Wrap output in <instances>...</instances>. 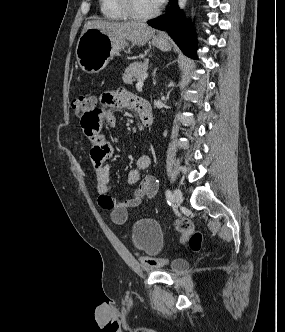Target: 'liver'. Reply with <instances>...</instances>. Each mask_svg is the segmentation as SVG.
<instances>
[{
    "label": "liver",
    "instance_id": "6515ba94",
    "mask_svg": "<svg viewBox=\"0 0 285 332\" xmlns=\"http://www.w3.org/2000/svg\"><path fill=\"white\" fill-rule=\"evenodd\" d=\"M89 28L104 31L111 36L122 38L138 46H144L155 33V29L144 23L136 22L119 23L102 20H90L85 23L83 32Z\"/></svg>",
    "mask_w": 285,
    "mask_h": 332
}]
</instances>
